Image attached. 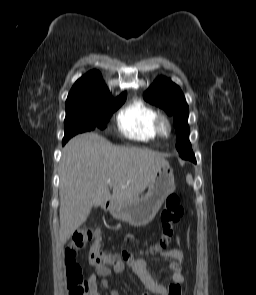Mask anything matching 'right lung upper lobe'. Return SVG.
<instances>
[{
  "mask_svg": "<svg viewBox=\"0 0 256 295\" xmlns=\"http://www.w3.org/2000/svg\"><path fill=\"white\" fill-rule=\"evenodd\" d=\"M106 98H112L110 92L103 82L101 74L96 70H92L75 82L66 100V106Z\"/></svg>",
  "mask_w": 256,
  "mask_h": 295,
  "instance_id": "obj_1",
  "label": "right lung upper lobe"
}]
</instances>
